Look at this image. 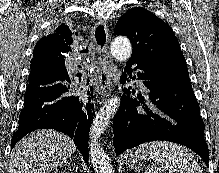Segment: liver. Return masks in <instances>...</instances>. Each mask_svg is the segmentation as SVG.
Masks as SVG:
<instances>
[{
    "label": "liver",
    "mask_w": 219,
    "mask_h": 173,
    "mask_svg": "<svg viewBox=\"0 0 219 173\" xmlns=\"http://www.w3.org/2000/svg\"><path fill=\"white\" fill-rule=\"evenodd\" d=\"M74 141L55 130H38L25 136L11 152L9 173H50L75 152Z\"/></svg>",
    "instance_id": "obj_1"
}]
</instances>
